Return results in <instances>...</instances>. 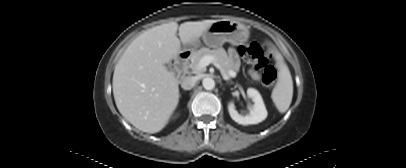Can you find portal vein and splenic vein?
Listing matches in <instances>:
<instances>
[{
  "label": "portal vein and splenic vein",
  "instance_id": "18ae733b",
  "mask_svg": "<svg viewBox=\"0 0 406 168\" xmlns=\"http://www.w3.org/2000/svg\"><path fill=\"white\" fill-rule=\"evenodd\" d=\"M211 63H214L217 68H220L219 65L215 62V58H214L213 56L205 55V56H203V57L200 59V61H199V63H198V69H199V70H202V69H204L206 66H208V65L211 64ZM221 72H222V71H221ZM222 74H223V73H222ZM223 77H224V79H226V80H227L229 77H236V72L230 71V72H229V76L223 74Z\"/></svg>",
  "mask_w": 406,
  "mask_h": 168
}]
</instances>
